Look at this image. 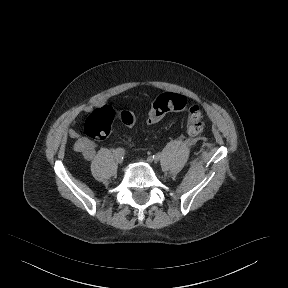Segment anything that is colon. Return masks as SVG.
I'll list each match as a JSON object with an SVG mask.
<instances>
[{"label":"colon","mask_w":288,"mask_h":288,"mask_svg":"<svg viewBox=\"0 0 288 288\" xmlns=\"http://www.w3.org/2000/svg\"><path fill=\"white\" fill-rule=\"evenodd\" d=\"M185 96L177 93H166L154 101L148 111L146 122L155 124L161 121L169 113L187 110L186 130L191 135L199 134L204 127L202 111L197 105L187 107ZM121 115L122 121L127 126L133 127L136 124V118L126 111L118 113L113 108L103 105L96 108L87 117L84 125V131L87 137L94 141L106 139L113 128V120ZM92 147V144H90Z\"/></svg>","instance_id":"5ec220e1"}]
</instances>
